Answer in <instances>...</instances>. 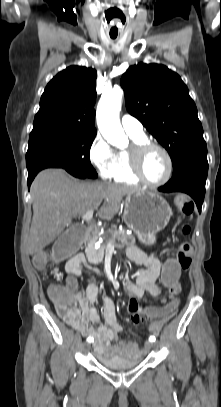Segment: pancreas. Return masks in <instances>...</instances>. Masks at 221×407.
Segmentation results:
<instances>
[{"label":"pancreas","instance_id":"1","mask_svg":"<svg viewBox=\"0 0 221 407\" xmlns=\"http://www.w3.org/2000/svg\"><path fill=\"white\" fill-rule=\"evenodd\" d=\"M111 234L114 236H111ZM100 236L103 237L104 244L99 250H96L94 248V243ZM109 242H114L116 246L120 247L124 246L130 247L135 245L136 239L134 235L127 234L121 230L108 231L105 232L103 235H101L98 230H93L91 232V236L88 238V245L86 251L87 257L91 263L97 264L103 260L106 245Z\"/></svg>","mask_w":221,"mask_h":407}]
</instances>
